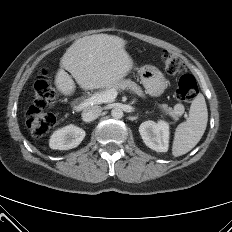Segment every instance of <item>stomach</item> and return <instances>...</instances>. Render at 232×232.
<instances>
[{"label": "stomach", "mask_w": 232, "mask_h": 232, "mask_svg": "<svg viewBox=\"0 0 232 232\" xmlns=\"http://www.w3.org/2000/svg\"><path fill=\"white\" fill-rule=\"evenodd\" d=\"M141 83L151 96L161 95L167 85L163 74L153 66H144L139 69Z\"/></svg>", "instance_id": "obj_1"}]
</instances>
